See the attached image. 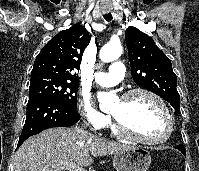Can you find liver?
Masks as SVG:
<instances>
[{
  "label": "liver",
  "instance_id": "liver-1",
  "mask_svg": "<svg viewBox=\"0 0 199 171\" xmlns=\"http://www.w3.org/2000/svg\"><path fill=\"white\" fill-rule=\"evenodd\" d=\"M132 148L106 141L79 128H50L27 139L17 150L13 171H62L63 164L87 167L97 156Z\"/></svg>",
  "mask_w": 199,
  "mask_h": 171
}]
</instances>
